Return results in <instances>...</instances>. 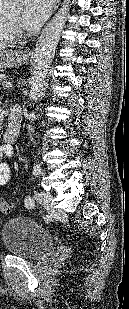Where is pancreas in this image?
I'll use <instances>...</instances> for the list:
<instances>
[{
	"mask_svg": "<svg viewBox=\"0 0 129 309\" xmlns=\"http://www.w3.org/2000/svg\"><path fill=\"white\" fill-rule=\"evenodd\" d=\"M6 80V76L2 73H0V84L2 81H5Z\"/></svg>",
	"mask_w": 129,
	"mask_h": 309,
	"instance_id": "obj_1",
	"label": "pancreas"
}]
</instances>
